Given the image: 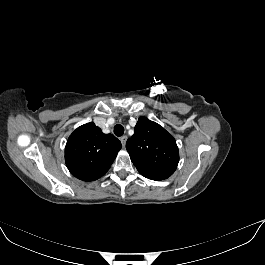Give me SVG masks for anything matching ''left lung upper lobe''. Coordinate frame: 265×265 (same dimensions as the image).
Returning <instances> with one entry per match:
<instances>
[{
  "label": "left lung upper lobe",
  "mask_w": 265,
  "mask_h": 265,
  "mask_svg": "<svg viewBox=\"0 0 265 265\" xmlns=\"http://www.w3.org/2000/svg\"><path fill=\"white\" fill-rule=\"evenodd\" d=\"M126 149L139 173L152 180L167 179L179 162L175 139L162 126L146 117L138 119Z\"/></svg>",
  "instance_id": "left-lung-upper-lobe-1"
}]
</instances>
